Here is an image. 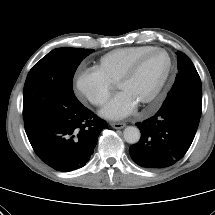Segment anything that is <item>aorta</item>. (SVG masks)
<instances>
[{
  "label": "aorta",
  "instance_id": "1",
  "mask_svg": "<svg viewBox=\"0 0 215 215\" xmlns=\"http://www.w3.org/2000/svg\"><path fill=\"white\" fill-rule=\"evenodd\" d=\"M124 139L127 143L136 144L140 140V130L134 126H128L123 131Z\"/></svg>",
  "mask_w": 215,
  "mask_h": 215
}]
</instances>
